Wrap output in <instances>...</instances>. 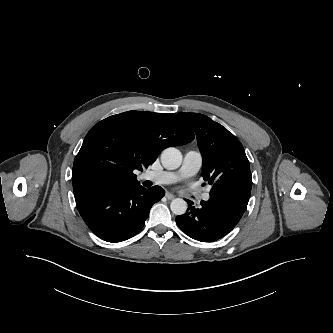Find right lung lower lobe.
I'll return each mask as SVG.
<instances>
[{
  "label": "right lung lower lobe",
  "mask_w": 333,
  "mask_h": 333,
  "mask_svg": "<svg viewBox=\"0 0 333 333\" xmlns=\"http://www.w3.org/2000/svg\"><path fill=\"white\" fill-rule=\"evenodd\" d=\"M163 196L164 190L159 186H89L74 192L77 209L87 226L99 238L112 243L136 235L153 204Z\"/></svg>",
  "instance_id": "right-lung-lower-lobe-1"
}]
</instances>
